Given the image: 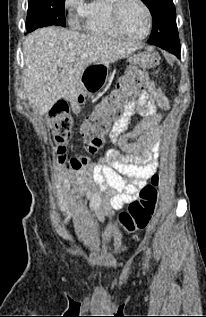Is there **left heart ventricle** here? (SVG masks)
Returning <instances> with one entry per match:
<instances>
[{"mask_svg":"<svg viewBox=\"0 0 206 317\" xmlns=\"http://www.w3.org/2000/svg\"><path fill=\"white\" fill-rule=\"evenodd\" d=\"M121 26L131 36H141L147 29V16L142 6L135 2H128L121 14Z\"/></svg>","mask_w":206,"mask_h":317,"instance_id":"b2bd125f","label":"left heart ventricle"}]
</instances>
